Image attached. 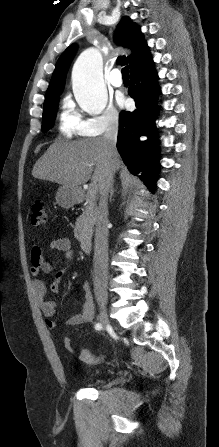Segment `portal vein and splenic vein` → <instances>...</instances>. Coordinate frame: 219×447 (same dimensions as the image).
Here are the masks:
<instances>
[{
  "label": "portal vein and splenic vein",
  "instance_id": "1",
  "mask_svg": "<svg viewBox=\"0 0 219 447\" xmlns=\"http://www.w3.org/2000/svg\"><path fill=\"white\" fill-rule=\"evenodd\" d=\"M97 193L96 183H92L88 189V194L94 196Z\"/></svg>",
  "mask_w": 219,
  "mask_h": 447
}]
</instances>
